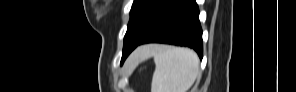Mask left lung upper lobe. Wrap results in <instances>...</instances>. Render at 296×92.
<instances>
[{
	"mask_svg": "<svg viewBox=\"0 0 296 92\" xmlns=\"http://www.w3.org/2000/svg\"><path fill=\"white\" fill-rule=\"evenodd\" d=\"M170 0H134L124 37L123 55L152 29Z\"/></svg>",
	"mask_w": 296,
	"mask_h": 92,
	"instance_id": "5c2ea615",
	"label": "left lung upper lobe"
}]
</instances>
